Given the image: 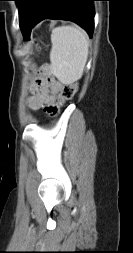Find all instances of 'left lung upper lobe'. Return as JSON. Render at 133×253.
Wrapping results in <instances>:
<instances>
[{"label":"left lung upper lobe","mask_w":133,"mask_h":253,"mask_svg":"<svg viewBox=\"0 0 133 253\" xmlns=\"http://www.w3.org/2000/svg\"><path fill=\"white\" fill-rule=\"evenodd\" d=\"M13 1L16 2L17 6H18V10H19V8H20V6H21V3H22L24 0H13Z\"/></svg>","instance_id":"obj_1"}]
</instances>
